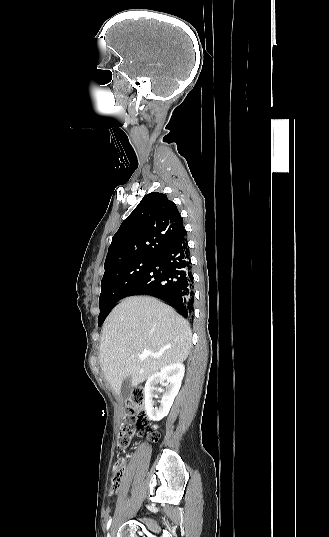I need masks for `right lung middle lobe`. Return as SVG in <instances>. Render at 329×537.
I'll return each mask as SVG.
<instances>
[{"mask_svg":"<svg viewBox=\"0 0 329 537\" xmlns=\"http://www.w3.org/2000/svg\"><path fill=\"white\" fill-rule=\"evenodd\" d=\"M153 258L137 259L106 269L101 281L99 297V326L111 308L129 291L150 265Z\"/></svg>","mask_w":329,"mask_h":537,"instance_id":"dd1d6c3e","label":"right lung middle lobe"}]
</instances>
